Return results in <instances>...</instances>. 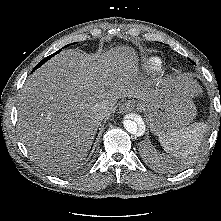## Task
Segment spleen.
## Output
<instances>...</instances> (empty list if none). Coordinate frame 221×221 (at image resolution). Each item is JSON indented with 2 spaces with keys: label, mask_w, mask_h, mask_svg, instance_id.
Listing matches in <instances>:
<instances>
[{
  "label": "spleen",
  "mask_w": 221,
  "mask_h": 221,
  "mask_svg": "<svg viewBox=\"0 0 221 221\" xmlns=\"http://www.w3.org/2000/svg\"><path fill=\"white\" fill-rule=\"evenodd\" d=\"M203 123H195L159 137L166 152L182 157L193 155L200 146Z\"/></svg>",
  "instance_id": "obj_1"
}]
</instances>
